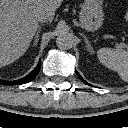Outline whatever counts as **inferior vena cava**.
<instances>
[{
    "instance_id": "602c4592",
    "label": "inferior vena cava",
    "mask_w": 128,
    "mask_h": 128,
    "mask_svg": "<svg viewBox=\"0 0 128 128\" xmlns=\"http://www.w3.org/2000/svg\"><path fill=\"white\" fill-rule=\"evenodd\" d=\"M37 20L41 23H44V22L50 21L51 17L48 13L42 12V13L38 14Z\"/></svg>"
}]
</instances>
